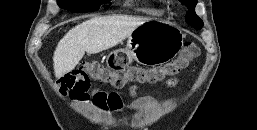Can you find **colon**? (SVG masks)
I'll return each instance as SVG.
<instances>
[{
    "label": "colon",
    "mask_w": 257,
    "mask_h": 130,
    "mask_svg": "<svg viewBox=\"0 0 257 130\" xmlns=\"http://www.w3.org/2000/svg\"><path fill=\"white\" fill-rule=\"evenodd\" d=\"M199 52V47L195 43L188 42L174 60L150 68L131 66L126 70H114L97 62H87L61 77L57 82V89L60 94L79 100L88 96L91 80L116 88H122L129 82L154 84L179 73L199 55Z\"/></svg>",
    "instance_id": "obj_1"
}]
</instances>
